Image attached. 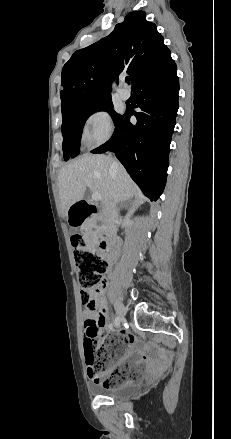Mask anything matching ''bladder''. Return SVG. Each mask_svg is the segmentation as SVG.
I'll use <instances>...</instances> for the list:
<instances>
[{
    "mask_svg": "<svg viewBox=\"0 0 231 439\" xmlns=\"http://www.w3.org/2000/svg\"><path fill=\"white\" fill-rule=\"evenodd\" d=\"M126 370L130 373L141 374L143 367L142 365L135 364L133 361H131L126 366ZM91 389L98 396L109 397L112 399H128L136 395L139 387L125 384H121L115 387H107L100 384H94Z\"/></svg>",
    "mask_w": 231,
    "mask_h": 439,
    "instance_id": "bladder-1",
    "label": "bladder"
}]
</instances>
